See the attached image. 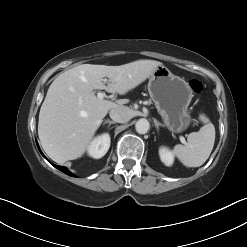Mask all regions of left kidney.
Here are the masks:
<instances>
[{
	"label": "left kidney",
	"instance_id": "left-kidney-1",
	"mask_svg": "<svg viewBox=\"0 0 247 247\" xmlns=\"http://www.w3.org/2000/svg\"><path fill=\"white\" fill-rule=\"evenodd\" d=\"M159 155L161 161L166 165V166H171L174 162V155L171 151L168 150L166 147H161L159 149Z\"/></svg>",
	"mask_w": 247,
	"mask_h": 247
}]
</instances>
